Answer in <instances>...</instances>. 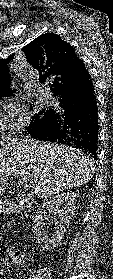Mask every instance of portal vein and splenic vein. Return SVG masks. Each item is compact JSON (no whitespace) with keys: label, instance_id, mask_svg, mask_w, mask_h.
I'll list each match as a JSON object with an SVG mask.
<instances>
[{"label":"portal vein and splenic vein","instance_id":"obj_1","mask_svg":"<svg viewBox=\"0 0 113 279\" xmlns=\"http://www.w3.org/2000/svg\"><path fill=\"white\" fill-rule=\"evenodd\" d=\"M6 174L9 175V176H17L18 177V180H19V184H21L22 186H26L28 187L29 186V180L23 176H19V175H16L14 172H10V171H6Z\"/></svg>","mask_w":113,"mask_h":279}]
</instances>
